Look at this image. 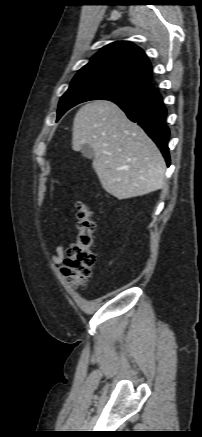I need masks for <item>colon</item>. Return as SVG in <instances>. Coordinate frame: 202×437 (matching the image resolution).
Masks as SVG:
<instances>
[{"label": "colon", "mask_w": 202, "mask_h": 437, "mask_svg": "<svg viewBox=\"0 0 202 437\" xmlns=\"http://www.w3.org/2000/svg\"><path fill=\"white\" fill-rule=\"evenodd\" d=\"M77 209V234L68 245L63 261L62 274L75 288L86 284L92 275L95 265V223L92 211L84 201L76 202Z\"/></svg>", "instance_id": "colon-1"}]
</instances>
